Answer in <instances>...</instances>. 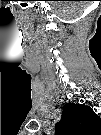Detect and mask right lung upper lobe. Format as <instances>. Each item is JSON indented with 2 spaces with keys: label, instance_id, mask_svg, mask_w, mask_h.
Returning a JSON list of instances; mask_svg holds the SVG:
<instances>
[{
  "label": "right lung upper lobe",
  "instance_id": "1",
  "mask_svg": "<svg viewBox=\"0 0 101 135\" xmlns=\"http://www.w3.org/2000/svg\"><path fill=\"white\" fill-rule=\"evenodd\" d=\"M100 118L91 108L80 104L63 106L61 120L55 125V132L66 135H98Z\"/></svg>",
  "mask_w": 101,
  "mask_h": 135
}]
</instances>
